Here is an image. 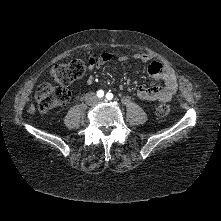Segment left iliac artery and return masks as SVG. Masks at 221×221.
Masks as SVG:
<instances>
[{
  "label": "left iliac artery",
  "mask_w": 221,
  "mask_h": 221,
  "mask_svg": "<svg viewBox=\"0 0 221 221\" xmlns=\"http://www.w3.org/2000/svg\"><path fill=\"white\" fill-rule=\"evenodd\" d=\"M106 99H108V100L113 99V94L112 93H107L106 94Z\"/></svg>",
  "instance_id": "obj_1"
}]
</instances>
